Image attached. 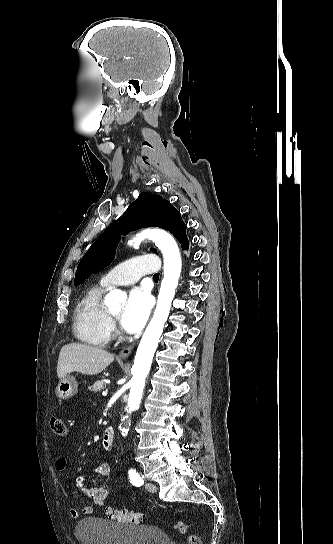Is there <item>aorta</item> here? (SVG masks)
I'll list each match as a JSON object with an SVG mask.
<instances>
[{
    "mask_svg": "<svg viewBox=\"0 0 333 544\" xmlns=\"http://www.w3.org/2000/svg\"><path fill=\"white\" fill-rule=\"evenodd\" d=\"M145 239L152 240L163 254L164 278L161 282L153 317L142 336L136 352L134 365L131 370L133 377L127 411L139 408L145 380L150 371L154 353L170 312L182 267L179 249L172 236L160 229H147L134 237L129 244L139 246ZM125 301L126 294L118 289L110 291L104 299L105 305L110 309L119 308Z\"/></svg>",
    "mask_w": 333,
    "mask_h": 544,
    "instance_id": "obj_1",
    "label": "aorta"
}]
</instances>
